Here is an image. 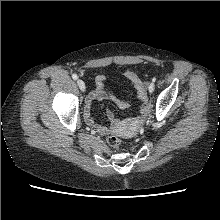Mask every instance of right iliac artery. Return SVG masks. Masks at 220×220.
<instances>
[{"label": "right iliac artery", "instance_id": "1", "mask_svg": "<svg viewBox=\"0 0 220 220\" xmlns=\"http://www.w3.org/2000/svg\"><path fill=\"white\" fill-rule=\"evenodd\" d=\"M72 78H73L74 80H77L78 76H77L76 74H72Z\"/></svg>", "mask_w": 220, "mask_h": 220}]
</instances>
